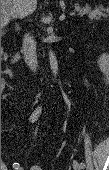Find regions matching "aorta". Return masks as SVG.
<instances>
[{
  "mask_svg": "<svg viewBox=\"0 0 109 170\" xmlns=\"http://www.w3.org/2000/svg\"><path fill=\"white\" fill-rule=\"evenodd\" d=\"M48 55H49V63H50L51 72L53 76L56 78L58 75V69H59L56 55L51 49L49 50Z\"/></svg>",
  "mask_w": 109,
  "mask_h": 170,
  "instance_id": "1",
  "label": "aorta"
}]
</instances>
